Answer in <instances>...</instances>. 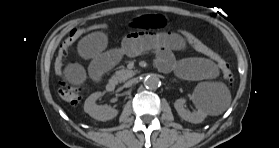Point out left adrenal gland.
Segmentation results:
<instances>
[{
	"mask_svg": "<svg viewBox=\"0 0 279 148\" xmlns=\"http://www.w3.org/2000/svg\"><path fill=\"white\" fill-rule=\"evenodd\" d=\"M172 81H173V82H177V80H176V79H173Z\"/></svg>",
	"mask_w": 279,
	"mask_h": 148,
	"instance_id": "1",
	"label": "left adrenal gland"
}]
</instances>
